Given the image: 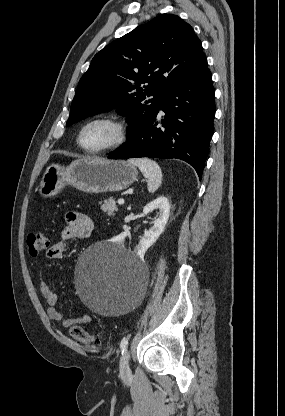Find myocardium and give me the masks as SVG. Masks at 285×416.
Instances as JSON below:
<instances>
[{
    "label": "myocardium",
    "instance_id": "1",
    "mask_svg": "<svg viewBox=\"0 0 285 416\" xmlns=\"http://www.w3.org/2000/svg\"><path fill=\"white\" fill-rule=\"evenodd\" d=\"M106 123L110 125L115 133L114 140L111 144L106 147L99 148V149H88L83 146L82 144V135L85 129L94 124V123ZM127 140V130L124 124L117 118L107 115H100L89 119L87 122L83 124L80 128L78 135H77V145L79 148L88 155H104L110 152H113L124 145Z\"/></svg>",
    "mask_w": 285,
    "mask_h": 416
}]
</instances>
